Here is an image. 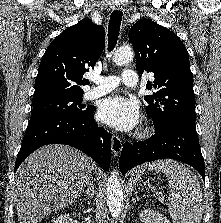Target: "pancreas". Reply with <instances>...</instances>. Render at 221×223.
Listing matches in <instances>:
<instances>
[{
  "label": "pancreas",
  "mask_w": 221,
  "mask_h": 223,
  "mask_svg": "<svg viewBox=\"0 0 221 223\" xmlns=\"http://www.w3.org/2000/svg\"><path fill=\"white\" fill-rule=\"evenodd\" d=\"M157 198H158V200H159L160 202H164V196H163L162 193H158V194H157Z\"/></svg>",
  "instance_id": "pancreas-1"
}]
</instances>
